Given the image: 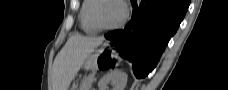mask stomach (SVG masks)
Here are the masks:
<instances>
[{
	"label": "stomach",
	"mask_w": 228,
	"mask_h": 90,
	"mask_svg": "<svg viewBox=\"0 0 228 90\" xmlns=\"http://www.w3.org/2000/svg\"><path fill=\"white\" fill-rule=\"evenodd\" d=\"M118 60V56L115 52L111 53V56L105 54L104 48L95 51L93 54H90L85 61L84 68L87 70H94L97 68H102L108 64H115ZM70 90H76V84H73Z\"/></svg>",
	"instance_id": "1"
}]
</instances>
